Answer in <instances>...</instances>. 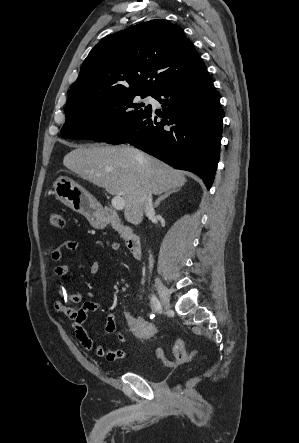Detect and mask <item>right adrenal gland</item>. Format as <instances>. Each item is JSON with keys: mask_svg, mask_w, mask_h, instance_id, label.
Listing matches in <instances>:
<instances>
[{"mask_svg": "<svg viewBox=\"0 0 299 443\" xmlns=\"http://www.w3.org/2000/svg\"><path fill=\"white\" fill-rule=\"evenodd\" d=\"M179 190H180V189H173V190H170V191L166 192L165 194L159 196V197L157 198V200L155 201V203H154V208H158V206H159V204H160L161 201L165 200V199L168 198L171 194L176 193V192H178Z\"/></svg>", "mask_w": 299, "mask_h": 443, "instance_id": "right-adrenal-gland-1", "label": "right adrenal gland"}]
</instances>
